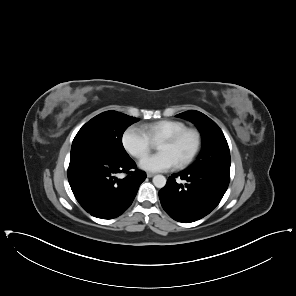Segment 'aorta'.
<instances>
[{"mask_svg":"<svg viewBox=\"0 0 296 296\" xmlns=\"http://www.w3.org/2000/svg\"><path fill=\"white\" fill-rule=\"evenodd\" d=\"M153 184L157 187V188H162L165 186L166 184V178L161 175V174H158V175H155L153 177Z\"/></svg>","mask_w":296,"mask_h":296,"instance_id":"aorta-1","label":"aorta"}]
</instances>
